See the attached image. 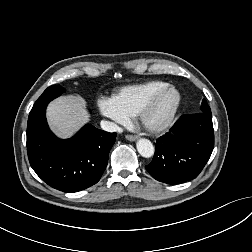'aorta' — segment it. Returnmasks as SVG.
<instances>
[{
    "mask_svg": "<svg viewBox=\"0 0 252 252\" xmlns=\"http://www.w3.org/2000/svg\"><path fill=\"white\" fill-rule=\"evenodd\" d=\"M136 147L142 157L150 158L154 155V146L148 139H139Z\"/></svg>",
    "mask_w": 252,
    "mask_h": 252,
    "instance_id": "1",
    "label": "aorta"
}]
</instances>
